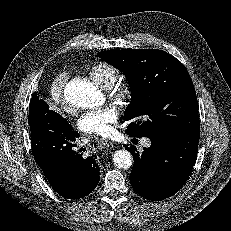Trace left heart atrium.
I'll return each mask as SVG.
<instances>
[{"label": "left heart atrium", "mask_w": 231, "mask_h": 231, "mask_svg": "<svg viewBox=\"0 0 231 231\" xmlns=\"http://www.w3.org/2000/svg\"><path fill=\"white\" fill-rule=\"evenodd\" d=\"M118 118L117 108L106 106L84 114L79 120V127L85 133L108 136L112 133Z\"/></svg>", "instance_id": "1"}]
</instances>
